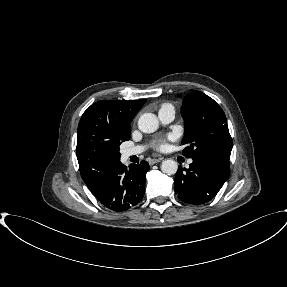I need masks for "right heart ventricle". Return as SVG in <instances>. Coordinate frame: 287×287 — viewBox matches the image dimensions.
I'll list each match as a JSON object with an SVG mask.
<instances>
[{
	"label": "right heart ventricle",
	"instance_id": "right-heart-ventricle-1",
	"mask_svg": "<svg viewBox=\"0 0 287 287\" xmlns=\"http://www.w3.org/2000/svg\"><path fill=\"white\" fill-rule=\"evenodd\" d=\"M165 108H172V109H174V107H173L170 103H163V104L160 106V110L165 109ZM160 110H159V111H160Z\"/></svg>",
	"mask_w": 287,
	"mask_h": 287
}]
</instances>
